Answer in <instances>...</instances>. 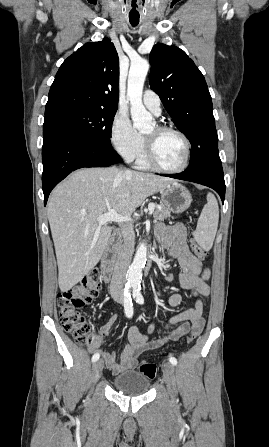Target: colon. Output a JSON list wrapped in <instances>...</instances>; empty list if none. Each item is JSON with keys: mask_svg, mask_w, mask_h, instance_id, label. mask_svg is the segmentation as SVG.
<instances>
[{"mask_svg": "<svg viewBox=\"0 0 269 447\" xmlns=\"http://www.w3.org/2000/svg\"><path fill=\"white\" fill-rule=\"evenodd\" d=\"M191 251L199 259L205 260L208 252L197 242H191ZM101 281L97 274L85 275L81 281L69 290H61L57 295L58 313L62 327L69 336L79 345L94 344L98 341V335L92 330L86 314L87 306L98 303ZM192 331L189 333L191 334ZM187 335V343L194 341L195 335ZM189 336V338H188ZM137 371L148 379H154L157 375V365L152 362H140Z\"/></svg>", "mask_w": 269, "mask_h": 447, "instance_id": "obj_1", "label": "colon"}]
</instances>
